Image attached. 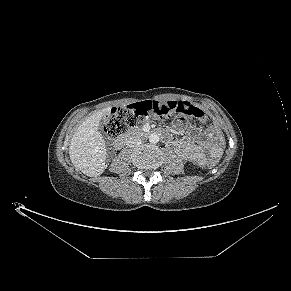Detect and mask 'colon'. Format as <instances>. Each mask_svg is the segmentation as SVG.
I'll list each match as a JSON object with an SVG mask.
<instances>
[{
  "label": "colon",
  "instance_id": "1",
  "mask_svg": "<svg viewBox=\"0 0 291 291\" xmlns=\"http://www.w3.org/2000/svg\"><path fill=\"white\" fill-rule=\"evenodd\" d=\"M175 115L199 118L201 120L205 117L204 112L200 108L189 102L145 101L127 107L112 109L105 118L104 131L108 137L117 138L144 119L151 117L165 119ZM217 164V159H210L207 166L214 168Z\"/></svg>",
  "mask_w": 291,
  "mask_h": 291
}]
</instances>
